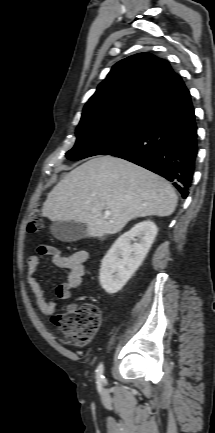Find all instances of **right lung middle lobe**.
<instances>
[{
    "label": "right lung middle lobe",
    "instance_id": "obj_1",
    "mask_svg": "<svg viewBox=\"0 0 215 433\" xmlns=\"http://www.w3.org/2000/svg\"><path fill=\"white\" fill-rule=\"evenodd\" d=\"M145 115H124L80 122L75 146L66 157L77 161L95 155L109 154L129 144L143 125Z\"/></svg>",
    "mask_w": 215,
    "mask_h": 433
}]
</instances>
